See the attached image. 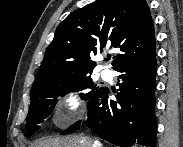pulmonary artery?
Returning <instances> with one entry per match:
<instances>
[{
    "label": "pulmonary artery",
    "instance_id": "obj_1",
    "mask_svg": "<svg viewBox=\"0 0 183 147\" xmlns=\"http://www.w3.org/2000/svg\"><path fill=\"white\" fill-rule=\"evenodd\" d=\"M100 76L104 80H109L111 78L112 74H111L110 70L104 69L103 71H101Z\"/></svg>",
    "mask_w": 183,
    "mask_h": 147
}]
</instances>
